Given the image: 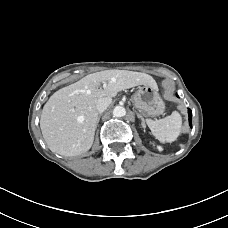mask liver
<instances>
[{
	"label": "liver",
	"mask_w": 228,
	"mask_h": 228,
	"mask_svg": "<svg viewBox=\"0 0 228 228\" xmlns=\"http://www.w3.org/2000/svg\"><path fill=\"white\" fill-rule=\"evenodd\" d=\"M100 83L106 84L100 88ZM138 85L157 87L152 76L127 70H105L89 74L56 91L44 105L40 128L49 149L62 156L88 151L98 124L96 103L115 97L119 91Z\"/></svg>",
	"instance_id": "obj_1"
}]
</instances>
